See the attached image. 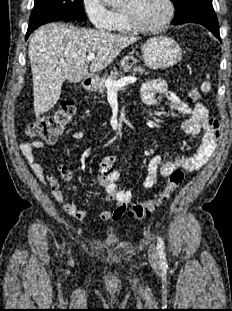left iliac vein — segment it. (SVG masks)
<instances>
[{"mask_svg":"<svg viewBox=\"0 0 232 311\" xmlns=\"http://www.w3.org/2000/svg\"><path fill=\"white\" fill-rule=\"evenodd\" d=\"M148 255H149V260L152 263H157L159 260V255H158V251L155 247V245H150L149 247V251H148Z\"/></svg>","mask_w":232,"mask_h":311,"instance_id":"4c4485c4","label":"left iliac vein"}]
</instances>
